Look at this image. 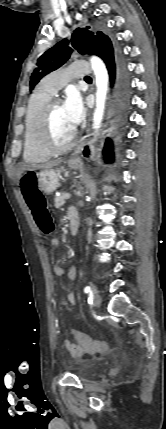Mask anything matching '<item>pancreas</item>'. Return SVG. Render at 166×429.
Returning <instances> with one entry per match:
<instances>
[{
    "instance_id": "1",
    "label": "pancreas",
    "mask_w": 166,
    "mask_h": 429,
    "mask_svg": "<svg viewBox=\"0 0 166 429\" xmlns=\"http://www.w3.org/2000/svg\"><path fill=\"white\" fill-rule=\"evenodd\" d=\"M65 193H62L60 196L55 197V207L61 208L65 204Z\"/></svg>"
}]
</instances>
